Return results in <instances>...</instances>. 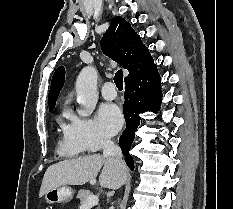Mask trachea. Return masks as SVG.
<instances>
[{
	"mask_svg": "<svg viewBox=\"0 0 233 209\" xmlns=\"http://www.w3.org/2000/svg\"><path fill=\"white\" fill-rule=\"evenodd\" d=\"M114 83L119 90L123 89V73L122 70H118L114 76Z\"/></svg>",
	"mask_w": 233,
	"mask_h": 209,
	"instance_id": "3493384b",
	"label": "trachea"
}]
</instances>
